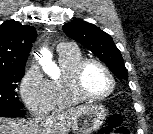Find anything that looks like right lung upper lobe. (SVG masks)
Instances as JSON below:
<instances>
[{"label":"right lung upper lobe","mask_w":153,"mask_h":134,"mask_svg":"<svg viewBox=\"0 0 153 134\" xmlns=\"http://www.w3.org/2000/svg\"><path fill=\"white\" fill-rule=\"evenodd\" d=\"M36 36L34 27L16 21L0 25V70L25 69Z\"/></svg>","instance_id":"cb5924a9"}]
</instances>
